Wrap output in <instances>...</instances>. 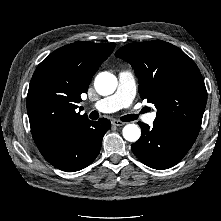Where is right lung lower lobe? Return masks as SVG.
I'll list each match as a JSON object with an SVG mask.
<instances>
[{
	"mask_svg": "<svg viewBox=\"0 0 221 221\" xmlns=\"http://www.w3.org/2000/svg\"><path fill=\"white\" fill-rule=\"evenodd\" d=\"M110 126V121L105 118L97 122L88 120L37 147L56 168L66 172L79 171L95 160Z\"/></svg>",
	"mask_w": 221,
	"mask_h": 221,
	"instance_id": "obj_1",
	"label": "right lung lower lobe"
}]
</instances>
